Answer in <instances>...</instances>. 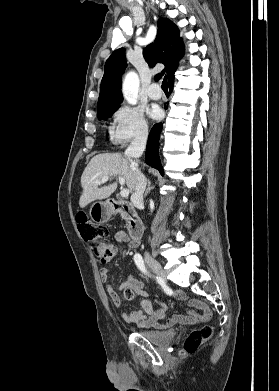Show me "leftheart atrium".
Wrapping results in <instances>:
<instances>
[{"label": "left heart atrium", "mask_w": 279, "mask_h": 391, "mask_svg": "<svg viewBox=\"0 0 279 391\" xmlns=\"http://www.w3.org/2000/svg\"><path fill=\"white\" fill-rule=\"evenodd\" d=\"M161 115V110L158 107H153L150 111V116L154 119L159 118Z\"/></svg>", "instance_id": "39dd6f15"}]
</instances>
